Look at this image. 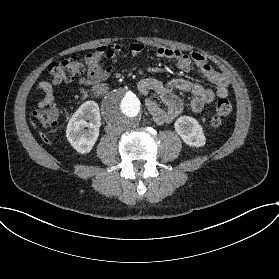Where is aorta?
Returning a JSON list of instances; mask_svg holds the SVG:
<instances>
[{
    "instance_id": "obj_1",
    "label": "aorta",
    "mask_w": 279,
    "mask_h": 279,
    "mask_svg": "<svg viewBox=\"0 0 279 279\" xmlns=\"http://www.w3.org/2000/svg\"><path fill=\"white\" fill-rule=\"evenodd\" d=\"M102 110L108 125L127 130L138 124L142 105L133 91L119 87L105 97Z\"/></svg>"
}]
</instances>
